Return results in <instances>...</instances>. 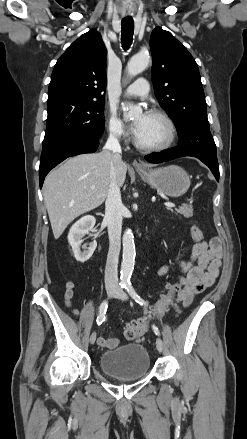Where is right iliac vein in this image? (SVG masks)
I'll return each mask as SVG.
<instances>
[{
    "label": "right iliac vein",
    "instance_id": "63e3f726",
    "mask_svg": "<svg viewBox=\"0 0 247 439\" xmlns=\"http://www.w3.org/2000/svg\"><path fill=\"white\" fill-rule=\"evenodd\" d=\"M115 293H116V289L115 288H113V287H108L107 288V295H108V297H112ZM95 340H96V333L93 332L91 334V336H90V343L94 344Z\"/></svg>",
    "mask_w": 247,
    "mask_h": 439
}]
</instances>
